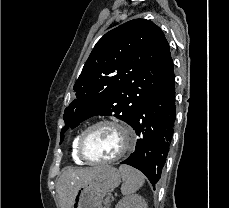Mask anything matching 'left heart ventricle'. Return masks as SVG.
Returning <instances> with one entry per match:
<instances>
[{
	"label": "left heart ventricle",
	"mask_w": 229,
	"mask_h": 208,
	"mask_svg": "<svg viewBox=\"0 0 229 208\" xmlns=\"http://www.w3.org/2000/svg\"><path fill=\"white\" fill-rule=\"evenodd\" d=\"M121 131L119 135L117 132ZM126 138L125 133L111 125H104L93 129L86 137L85 153L89 160H111L125 147L120 139Z\"/></svg>",
	"instance_id": "left-heart-ventricle-1"
}]
</instances>
